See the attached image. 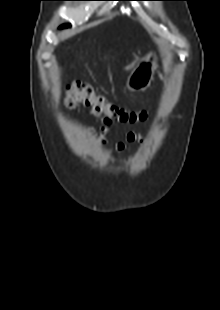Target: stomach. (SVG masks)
<instances>
[{
	"label": "stomach",
	"instance_id": "obj_1",
	"mask_svg": "<svg viewBox=\"0 0 220 310\" xmlns=\"http://www.w3.org/2000/svg\"><path fill=\"white\" fill-rule=\"evenodd\" d=\"M157 66L158 57L154 52L145 55L128 77L126 87L131 91L146 89L153 80Z\"/></svg>",
	"mask_w": 220,
	"mask_h": 310
}]
</instances>
